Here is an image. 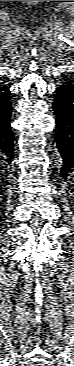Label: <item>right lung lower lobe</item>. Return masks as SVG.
Returning <instances> with one entry per match:
<instances>
[{"instance_id": "obj_1", "label": "right lung lower lobe", "mask_w": 74, "mask_h": 366, "mask_svg": "<svg viewBox=\"0 0 74 366\" xmlns=\"http://www.w3.org/2000/svg\"><path fill=\"white\" fill-rule=\"evenodd\" d=\"M11 113L9 87L0 83V157H6L9 162L14 158V140L10 127Z\"/></svg>"}]
</instances>
